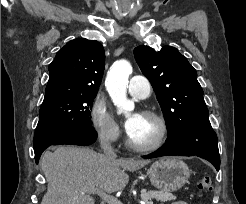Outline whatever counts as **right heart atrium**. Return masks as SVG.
<instances>
[{
    "label": "right heart atrium",
    "mask_w": 246,
    "mask_h": 204,
    "mask_svg": "<svg viewBox=\"0 0 246 204\" xmlns=\"http://www.w3.org/2000/svg\"><path fill=\"white\" fill-rule=\"evenodd\" d=\"M90 119L98 139L105 143H113L120 136V127L108 109L106 103L96 98L92 104Z\"/></svg>",
    "instance_id": "d8ad5b80"
}]
</instances>
